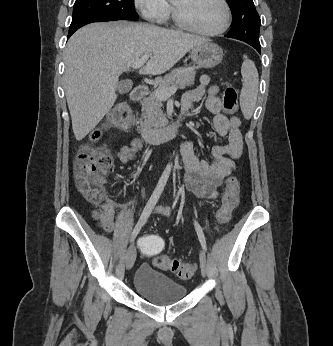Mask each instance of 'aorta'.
Returning <instances> with one entry per match:
<instances>
[{
    "mask_svg": "<svg viewBox=\"0 0 333 346\" xmlns=\"http://www.w3.org/2000/svg\"><path fill=\"white\" fill-rule=\"evenodd\" d=\"M171 166H172L171 164L168 165V167H171Z\"/></svg>",
    "mask_w": 333,
    "mask_h": 346,
    "instance_id": "obj_1",
    "label": "aorta"
}]
</instances>
